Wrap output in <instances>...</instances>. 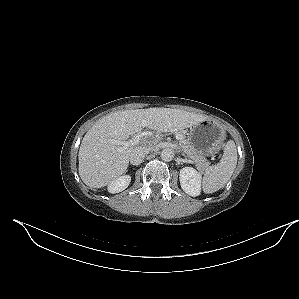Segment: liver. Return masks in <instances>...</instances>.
I'll return each instance as SVG.
<instances>
[{
    "mask_svg": "<svg viewBox=\"0 0 299 299\" xmlns=\"http://www.w3.org/2000/svg\"><path fill=\"white\" fill-rule=\"evenodd\" d=\"M207 119L187 111L169 108L124 110L99 119L85 134L79 149V175L91 188H101L127 170L133 146L119 152L110 140L125 141L143 127L159 132L180 131Z\"/></svg>",
    "mask_w": 299,
    "mask_h": 299,
    "instance_id": "liver-1",
    "label": "liver"
}]
</instances>
